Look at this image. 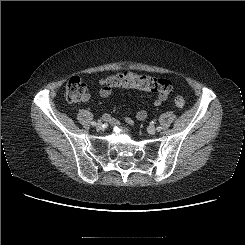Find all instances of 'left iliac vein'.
I'll use <instances>...</instances> for the list:
<instances>
[{"label": "left iliac vein", "instance_id": "left-iliac-vein-1", "mask_svg": "<svg viewBox=\"0 0 245 245\" xmlns=\"http://www.w3.org/2000/svg\"><path fill=\"white\" fill-rule=\"evenodd\" d=\"M147 131H148L149 134H152V135L157 132L156 128H154L152 126L148 127Z\"/></svg>", "mask_w": 245, "mask_h": 245}]
</instances>
